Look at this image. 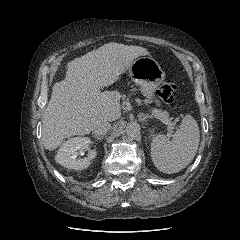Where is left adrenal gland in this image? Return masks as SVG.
I'll return each mask as SVG.
<instances>
[{"label":"left adrenal gland","instance_id":"a2214340","mask_svg":"<svg viewBox=\"0 0 240 240\" xmlns=\"http://www.w3.org/2000/svg\"><path fill=\"white\" fill-rule=\"evenodd\" d=\"M139 117L141 118L142 121H146L147 118H152L151 115H149V114H144V113H140V116H139Z\"/></svg>","mask_w":240,"mask_h":240}]
</instances>
